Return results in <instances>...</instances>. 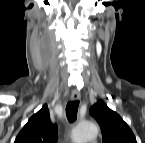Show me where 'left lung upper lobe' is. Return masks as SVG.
Here are the masks:
<instances>
[{
	"mask_svg": "<svg viewBox=\"0 0 145 143\" xmlns=\"http://www.w3.org/2000/svg\"><path fill=\"white\" fill-rule=\"evenodd\" d=\"M91 115L101 127L102 143H137L129 126L116 112L109 109L103 101H98L91 108Z\"/></svg>",
	"mask_w": 145,
	"mask_h": 143,
	"instance_id": "1",
	"label": "left lung upper lobe"
}]
</instances>
